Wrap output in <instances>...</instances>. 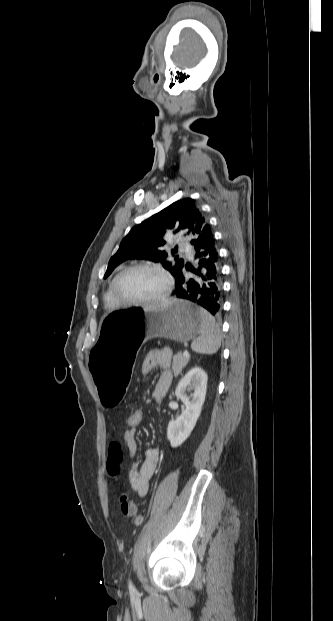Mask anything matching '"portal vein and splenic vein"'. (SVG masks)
I'll return each instance as SVG.
<instances>
[{
    "label": "portal vein and splenic vein",
    "instance_id": "1",
    "mask_svg": "<svg viewBox=\"0 0 333 621\" xmlns=\"http://www.w3.org/2000/svg\"><path fill=\"white\" fill-rule=\"evenodd\" d=\"M183 356L188 358V357H189V353H188V351H186V350H185V351L183 352Z\"/></svg>",
    "mask_w": 333,
    "mask_h": 621
}]
</instances>
